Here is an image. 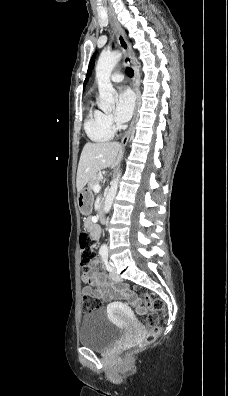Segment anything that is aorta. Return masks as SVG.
<instances>
[{
	"instance_id": "1",
	"label": "aorta",
	"mask_w": 228,
	"mask_h": 396,
	"mask_svg": "<svg viewBox=\"0 0 228 396\" xmlns=\"http://www.w3.org/2000/svg\"><path fill=\"white\" fill-rule=\"evenodd\" d=\"M121 59L120 52H112L109 54H102L99 57L97 66H96V80L99 89V103L98 107L103 111H109L114 108L115 99L117 97L116 90L113 88V85L110 81V76L112 70L117 65V63ZM121 176V172H119L111 182V186L108 190V193L104 202V212L108 213L112 207L113 200L116 196L119 179ZM101 250H107V246L103 244L101 246Z\"/></svg>"
}]
</instances>
